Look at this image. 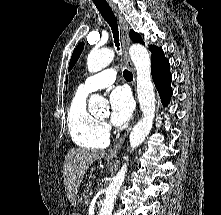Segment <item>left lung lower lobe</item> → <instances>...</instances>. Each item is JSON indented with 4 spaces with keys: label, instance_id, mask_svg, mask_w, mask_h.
Returning <instances> with one entry per match:
<instances>
[{
    "label": "left lung lower lobe",
    "instance_id": "0a47b994",
    "mask_svg": "<svg viewBox=\"0 0 221 215\" xmlns=\"http://www.w3.org/2000/svg\"><path fill=\"white\" fill-rule=\"evenodd\" d=\"M151 73L162 103L167 105L172 95V75L169 69V61L165 58L161 48L157 47L152 51Z\"/></svg>",
    "mask_w": 221,
    "mask_h": 215
}]
</instances>
